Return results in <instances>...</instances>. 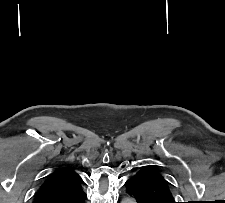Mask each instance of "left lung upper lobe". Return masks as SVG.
I'll list each match as a JSON object with an SVG mask.
<instances>
[{
	"label": "left lung upper lobe",
	"instance_id": "left-lung-upper-lobe-1",
	"mask_svg": "<svg viewBox=\"0 0 225 203\" xmlns=\"http://www.w3.org/2000/svg\"><path fill=\"white\" fill-rule=\"evenodd\" d=\"M130 180L147 198L156 203H175L170 183L156 170L142 168Z\"/></svg>",
	"mask_w": 225,
	"mask_h": 203
}]
</instances>
